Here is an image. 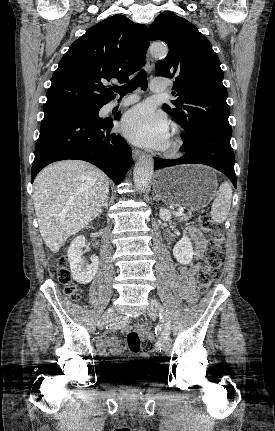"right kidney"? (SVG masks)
I'll return each mask as SVG.
<instances>
[{
	"label": "right kidney",
	"instance_id": "ca27d5eb",
	"mask_svg": "<svg viewBox=\"0 0 275 431\" xmlns=\"http://www.w3.org/2000/svg\"><path fill=\"white\" fill-rule=\"evenodd\" d=\"M85 241L86 239L84 236H77L71 242L67 252L71 274L74 280L80 284L90 283L96 275L99 265L97 256H92L91 264L86 263V260L82 257Z\"/></svg>",
	"mask_w": 275,
	"mask_h": 431
}]
</instances>
